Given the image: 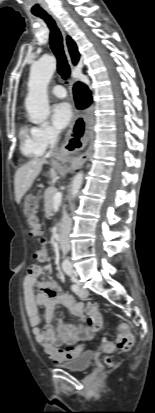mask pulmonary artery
<instances>
[{
  "label": "pulmonary artery",
  "instance_id": "1",
  "mask_svg": "<svg viewBox=\"0 0 155 413\" xmlns=\"http://www.w3.org/2000/svg\"><path fill=\"white\" fill-rule=\"evenodd\" d=\"M51 93L57 98H64L66 97V90L61 85H56L52 88Z\"/></svg>",
  "mask_w": 155,
  "mask_h": 413
}]
</instances>
